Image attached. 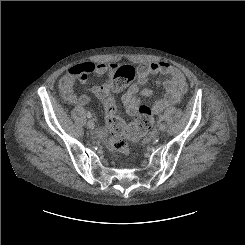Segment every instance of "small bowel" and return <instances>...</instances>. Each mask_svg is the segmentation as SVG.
<instances>
[{
	"label": "small bowel",
	"instance_id": "obj_1",
	"mask_svg": "<svg viewBox=\"0 0 245 245\" xmlns=\"http://www.w3.org/2000/svg\"><path fill=\"white\" fill-rule=\"evenodd\" d=\"M83 66H92L87 73L86 78L80 80L83 83L88 81V76L94 74L98 77L105 76L106 80L95 83L91 91L99 100L106 102L111 97L113 91V81L120 75L124 67H120L116 63H85ZM136 79L131 83L126 92L122 95L121 101L126 112L133 115L137 112L139 105L142 103V97H150L151 89L147 86V80L150 75H165L167 78L159 81L165 89V95L153 104V111L161 113L167 107L177 104L182 100L186 93L187 84L183 73L165 61H152L139 65L136 70ZM79 74L74 73L73 68L70 69L61 79L60 88L63 99L71 105H86L90 102L87 95H76L74 87ZM108 128L103 127L99 131V136L104 138L108 135Z\"/></svg>",
	"mask_w": 245,
	"mask_h": 245
}]
</instances>
